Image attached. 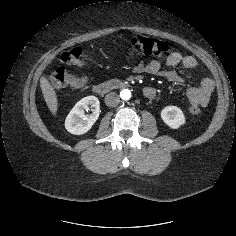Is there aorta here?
I'll use <instances>...</instances> for the list:
<instances>
[{
	"label": "aorta",
	"mask_w": 236,
	"mask_h": 236,
	"mask_svg": "<svg viewBox=\"0 0 236 236\" xmlns=\"http://www.w3.org/2000/svg\"><path fill=\"white\" fill-rule=\"evenodd\" d=\"M120 97L122 100H129L131 98V91L129 89L121 90Z\"/></svg>",
	"instance_id": "762f6f07"
}]
</instances>
